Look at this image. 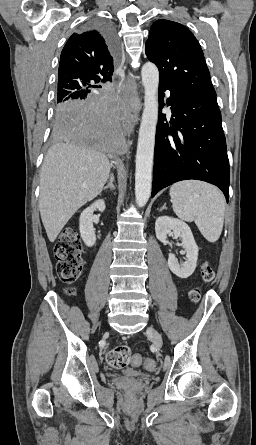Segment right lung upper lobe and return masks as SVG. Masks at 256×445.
<instances>
[{
    "mask_svg": "<svg viewBox=\"0 0 256 445\" xmlns=\"http://www.w3.org/2000/svg\"><path fill=\"white\" fill-rule=\"evenodd\" d=\"M116 60L108 41L97 29L87 27L71 35L61 52L57 100L89 95L92 87H98L93 82H111Z\"/></svg>",
    "mask_w": 256,
    "mask_h": 445,
    "instance_id": "right-lung-upper-lobe-1",
    "label": "right lung upper lobe"
}]
</instances>
